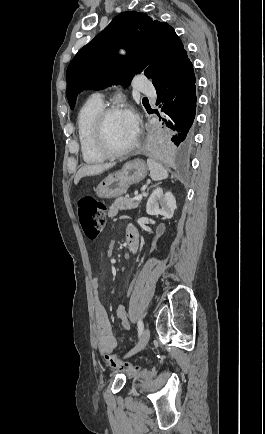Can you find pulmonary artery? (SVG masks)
<instances>
[{
    "instance_id": "obj_1",
    "label": "pulmonary artery",
    "mask_w": 265,
    "mask_h": 434,
    "mask_svg": "<svg viewBox=\"0 0 265 434\" xmlns=\"http://www.w3.org/2000/svg\"><path fill=\"white\" fill-rule=\"evenodd\" d=\"M147 80L146 75H137L135 78L137 84H146ZM92 96L94 100H103L105 95L103 91H94Z\"/></svg>"
}]
</instances>
